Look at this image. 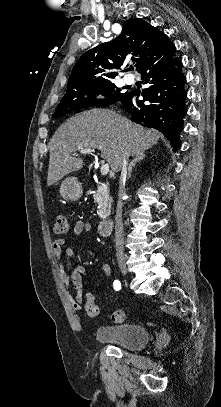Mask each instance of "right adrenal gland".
<instances>
[{"instance_id":"right-adrenal-gland-1","label":"right adrenal gland","mask_w":221,"mask_h":407,"mask_svg":"<svg viewBox=\"0 0 221 407\" xmlns=\"http://www.w3.org/2000/svg\"><path fill=\"white\" fill-rule=\"evenodd\" d=\"M145 156H146L145 153L142 152V153L136 155V156L133 158V160L129 163V166H128V175H127V178H128V179L131 177L132 168L135 166V164H136L137 162H140L141 160H143V159L145 158Z\"/></svg>"}]
</instances>
